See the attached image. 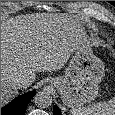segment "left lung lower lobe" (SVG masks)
<instances>
[{"label":"left lung lower lobe","instance_id":"0a47b994","mask_svg":"<svg viewBox=\"0 0 115 115\" xmlns=\"http://www.w3.org/2000/svg\"><path fill=\"white\" fill-rule=\"evenodd\" d=\"M54 115H61V112L57 106H54Z\"/></svg>","mask_w":115,"mask_h":115}]
</instances>
